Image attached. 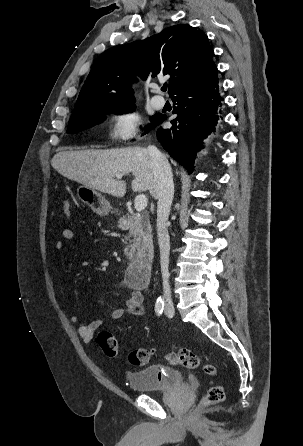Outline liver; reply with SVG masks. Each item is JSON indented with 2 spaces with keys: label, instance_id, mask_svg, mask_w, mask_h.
<instances>
[{
  "label": "liver",
  "instance_id": "6515ba94",
  "mask_svg": "<svg viewBox=\"0 0 303 446\" xmlns=\"http://www.w3.org/2000/svg\"><path fill=\"white\" fill-rule=\"evenodd\" d=\"M51 164L62 176L119 198L126 193V183L116 180V175L132 173L133 191L149 190L157 198L151 158L144 147L61 151L54 155Z\"/></svg>",
  "mask_w": 303,
  "mask_h": 446
}]
</instances>
